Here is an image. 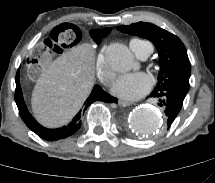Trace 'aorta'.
Masks as SVG:
<instances>
[{
  "instance_id": "obj_1",
  "label": "aorta",
  "mask_w": 215,
  "mask_h": 183,
  "mask_svg": "<svg viewBox=\"0 0 215 183\" xmlns=\"http://www.w3.org/2000/svg\"><path fill=\"white\" fill-rule=\"evenodd\" d=\"M109 66L117 72H127L132 68L134 57L127 46L113 43L105 53ZM130 128L138 134L151 135L159 131L163 125L161 112L152 106H140L129 116Z\"/></svg>"
}]
</instances>
